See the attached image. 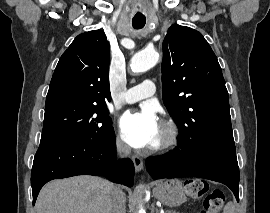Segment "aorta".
<instances>
[{
    "instance_id": "1",
    "label": "aorta",
    "mask_w": 270,
    "mask_h": 213,
    "mask_svg": "<svg viewBox=\"0 0 270 213\" xmlns=\"http://www.w3.org/2000/svg\"><path fill=\"white\" fill-rule=\"evenodd\" d=\"M159 53L154 49H145L136 53L130 63L131 70L135 73H141L149 70L157 64ZM138 213H146L140 205Z\"/></svg>"
}]
</instances>
